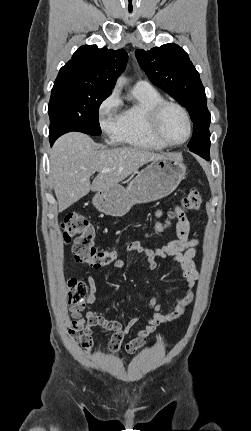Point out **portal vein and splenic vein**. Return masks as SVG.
Wrapping results in <instances>:
<instances>
[{
	"label": "portal vein and splenic vein",
	"mask_w": 251,
	"mask_h": 431,
	"mask_svg": "<svg viewBox=\"0 0 251 431\" xmlns=\"http://www.w3.org/2000/svg\"><path fill=\"white\" fill-rule=\"evenodd\" d=\"M110 171V169H103L101 172L102 173H106V172H109Z\"/></svg>",
	"instance_id": "obj_1"
}]
</instances>
